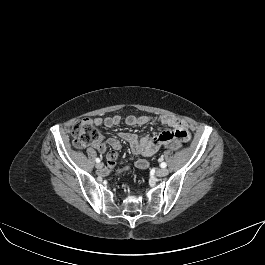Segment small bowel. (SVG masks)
<instances>
[{"instance_id":"obj_1","label":"small bowel","mask_w":265,"mask_h":265,"mask_svg":"<svg viewBox=\"0 0 265 265\" xmlns=\"http://www.w3.org/2000/svg\"><path fill=\"white\" fill-rule=\"evenodd\" d=\"M88 121L95 126L104 125L107 128H111L121 123V117L117 115L106 118L97 117ZM125 122L129 126H142L150 122H155L167 127V130L161 132L156 136L138 137L134 133H118V138L127 142L135 155L142 157H149L154 155L161 146L167 145L169 139H176L181 143H184L189 141L191 137L186 122L171 116L164 115L156 118H151L146 115H129L126 117ZM118 138L111 137L108 140L98 142L95 145L96 149L100 153H104L107 149V146L111 147L112 150L106 155L107 166L110 168L115 165L117 160V151L121 148V143ZM135 166L139 169H146L148 167V162L145 159H138L135 162Z\"/></svg>"}]
</instances>
